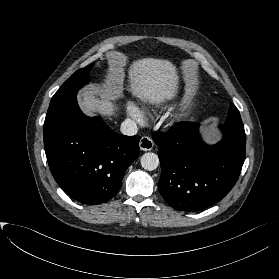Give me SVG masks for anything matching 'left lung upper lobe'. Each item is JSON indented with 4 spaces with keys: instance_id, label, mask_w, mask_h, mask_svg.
<instances>
[{
    "instance_id": "left-lung-upper-lobe-1",
    "label": "left lung upper lobe",
    "mask_w": 279,
    "mask_h": 279,
    "mask_svg": "<svg viewBox=\"0 0 279 279\" xmlns=\"http://www.w3.org/2000/svg\"><path fill=\"white\" fill-rule=\"evenodd\" d=\"M224 125H226L228 127H232L234 129H237L240 131H244V125L242 123L240 113H239L238 109L235 107V105L232 103L230 104V108L228 111V117H227Z\"/></svg>"
}]
</instances>
